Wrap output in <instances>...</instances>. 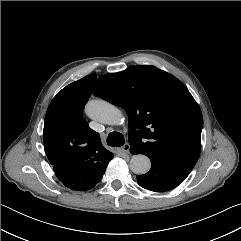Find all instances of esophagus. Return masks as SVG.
<instances>
[{
	"mask_svg": "<svg viewBox=\"0 0 241 241\" xmlns=\"http://www.w3.org/2000/svg\"><path fill=\"white\" fill-rule=\"evenodd\" d=\"M120 151L125 154H129L130 152V145L128 143L124 144L121 148Z\"/></svg>",
	"mask_w": 241,
	"mask_h": 241,
	"instance_id": "obj_1",
	"label": "esophagus"
}]
</instances>
